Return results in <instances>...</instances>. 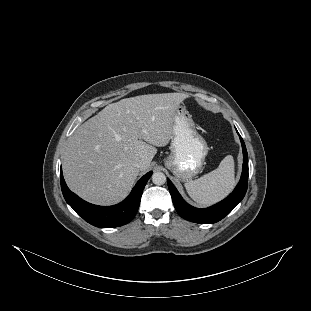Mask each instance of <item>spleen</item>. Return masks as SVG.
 I'll use <instances>...</instances> for the list:
<instances>
[{
	"label": "spleen",
	"mask_w": 311,
	"mask_h": 311,
	"mask_svg": "<svg viewBox=\"0 0 311 311\" xmlns=\"http://www.w3.org/2000/svg\"><path fill=\"white\" fill-rule=\"evenodd\" d=\"M235 170L232 155H227L218 168L184 184L188 195L201 206L224 199L234 188Z\"/></svg>",
	"instance_id": "1"
}]
</instances>
